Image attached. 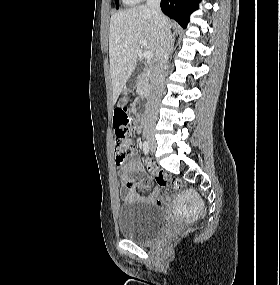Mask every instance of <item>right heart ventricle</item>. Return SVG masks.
Here are the masks:
<instances>
[{
    "label": "right heart ventricle",
    "instance_id": "1",
    "mask_svg": "<svg viewBox=\"0 0 280 285\" xmlns=\"http://www.w3.org/2000/svg\"><path fill=\"white\" fill-rule=\"evenodd\" d=\"M135 1H139V0H123V2L127 5H131L133 4Z\"/></svg>",
    "mask_w": 280,
    "mask_h": 285
}]
</instances>
